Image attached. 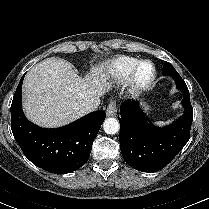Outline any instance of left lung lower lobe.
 <instances>
[{
    "mask_svg": "<svg viewBox=\"0 0 209 209\" xmlns=\"http://www.w3.org/2000/svg\"><path fill=\"white\" fill-rule=\"evenodd\" d=\"M183 92L184 115L169 126L159 128L150 123L138 102L127 100L121 105L120 147L124 160L134 169L155 172L164 168L190 138L193 108L189 90L179 74L172 75Z\"/></svg>",
    "mask_w": 209,
    "mask_h": 209,
    "instance_id": "obj_1",
    "label": "left lung lower lobe"
}]
</instances>
